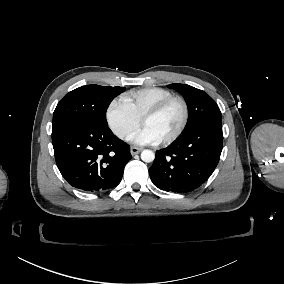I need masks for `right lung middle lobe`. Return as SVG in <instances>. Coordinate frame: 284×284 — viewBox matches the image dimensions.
<instances>
[{"label": "right lung middle lobe", "instance_id": "1", "mask_svg": "<svg viewBox=\"0 0 284 284\" xmlns=\"http://www.w3.org/2000/svg\"><path fill=\"white\" fill-rule=\"evenodd\" d=\"M124 90V87L93 84L67 93L54 111L52 134L74 122H88L107 127V108L111 101Z\"/></svg>", "mask_w": 284, "mask_h": 284}]
</instances>
